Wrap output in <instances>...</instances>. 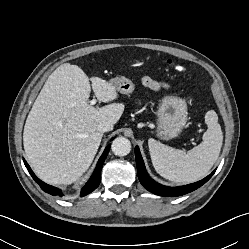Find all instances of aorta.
I'll use <instances>...</instances> for the list:
<instances>
[{"label": "aorta", "instance_id": "762f6f07", "mask_svg": "<svg viewBox=\"0 0 249 249\" xmlns=\"http://www.w3.org/2000/svg\"><path fill=\"white\" fill-rule=\"evenodd\" d=\"M111 149L117 156H126L131 151V143L125 137H118L113 140Z\"/></svg>", "mask_w": 249, "mask_h": 249}]
</instances>
